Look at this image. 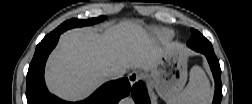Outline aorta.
<instances>
[{"mask_svg":"<svg viewBox=\"0 0 252 104\" xmlns=\"http://www.w3.org/2000/svg\"><path fill=\"white\" fill-rule=\"evenodd\" d=\"M131 102V99H129V101H127L126 103H130Z\"/></svg>","mask_w":252,"mask_h":104,"instance_id":"obj_1","label":"aorta"}]
</instances>
